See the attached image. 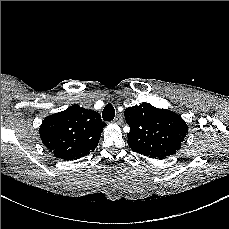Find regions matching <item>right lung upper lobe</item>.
Wrapping results in <instances>:
<instances>
[{"label": "right lung upper lobe", "instance_id": "cb5924a9", "mask_svg": "<svg viewBox=\"0 0 229 229\" xmlns=\"http://www.w3.org/2000/svg\"><path fill=\"white\" fill-rule=\"evenodd\" d=\"M106 126L98 112L78 104L47 116L39 129L43 144L63 160H76L94 151Z\"/></svg>", "mask_w": 229, "mask_h": 229}]
</instances>
